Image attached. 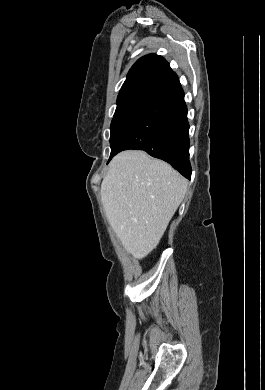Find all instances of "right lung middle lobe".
I'll return each mask as SVG.
<instances>
[{"instance_id":"right-lung-middle-lobe-1","label":"right lung middle lobe","mask_w":265,"mask_h":390,"mask_svg":"<svg viewBox=\"0 0 265 390\" xmlns=\"http://www.w3.org/2000/svg\"><path fill=\"white\" fill-rule=\"evenodd\" d=\"M154 99L147 97H134L127 100L117 102V108L113 116L110 130V146L111 155L114 154L116 144L125 131V129L133 122V120L143 112Z\"/></svg>"}]
</instances>
